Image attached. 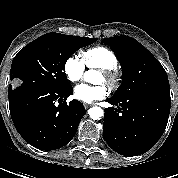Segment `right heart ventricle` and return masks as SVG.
Here are the masks:
<instances>
[{"instance_id":"right-heart-ventricle-1","label":"right heart ventricle","mask_w":178,"mask_h":178,"mask_svg":"<svg viewBox=\"0 0 178 178\" xmlns=\"http://www.w3.org/2000/svg\"><path fill=\"white\" fill-rule=\"evenodd\" d=\"M83 63L89 68H111L117 65V57L110 49L97 46L83 52Z\"/></svg>"}]
</instances>
